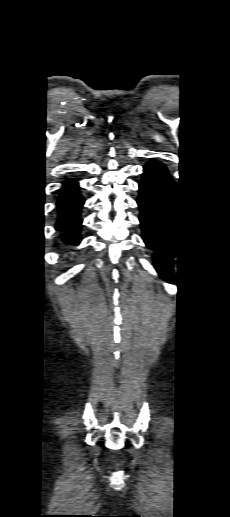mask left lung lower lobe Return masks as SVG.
Here are the masks:
<instances>
[{
	"label": "left lung lower lobe",
	"mask_w": 230,
	"mask_h": 517,
	"mask_svg": "<svg viewBox=\"0 0 230 517\" xmlns=\"http://www.w3.org/2000/svg\"><path fill=\"white\" fill-rule=\"evenodd\" d=\"M137 200L145 244L155 249L157 271L166 281H174L171 267L175 256L176 185L166 167L157 161L144 166Z\"/></svg>",
	"instance_id": "left-lung-lower-lobe-1"
}]
</instances>
